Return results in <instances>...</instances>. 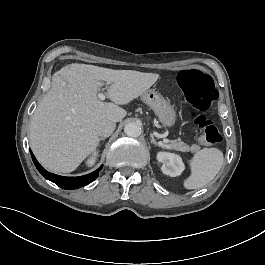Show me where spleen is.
<instances>
[{
  "label": "spleen",
  "mask_w": 265,
  "mask_h": 265,
  "mask_svg": "<svg viewBox=\"0 0 265 265\" xmlns=\"http://www.w3.org/2000/svg\"><path fill=\"white\" fill-rule=\"evenodd\" d=\"M224 162L223 151L217 147L202 148L187 160L190 174L183 181L186 189H198L208 184L220 171Z\"/></svg>",
  "instance_id": "spleen-1"
}]
</instances>
